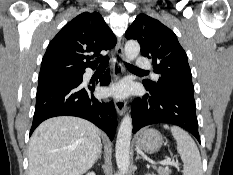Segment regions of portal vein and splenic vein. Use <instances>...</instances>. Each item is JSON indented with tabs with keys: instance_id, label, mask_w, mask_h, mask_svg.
I'll return each instance as SVG.
<instances>
[{
	"instance_id": "obj_1",
	"label": "portal vein and splenic vein",
	"mask_w": 233,
	"mask_h": 175,
	"mask_svg": "<svg viewBox=\"0 0 233 175\" xmlns=\"http://www.w3.org/2000/svg\"><path fill=\"white\" fill-rule=\"evenodd\" d=\"M161 165H171V164H174L171 162V159L170 158H166L165 160H162L159 162Z\"/></svg>"
}]
</instances>
